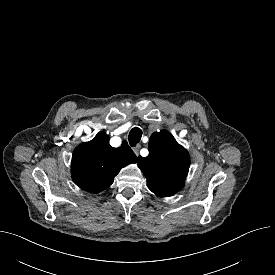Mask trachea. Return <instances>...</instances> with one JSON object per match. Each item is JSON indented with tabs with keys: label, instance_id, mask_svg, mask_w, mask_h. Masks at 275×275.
Here are the masks:
<instances>
[{
	"label": "trachea",
	"instance_id": "obj_1",
	"mask_svg": "<svg viewBox=\"0 0 275 275\" xmlns=\"http://www.w3.org/2000/svg\"><path fill=\"white\" fill-rule=\"evenodd\" d=\"M142 130L138 127H134L128 136L130 146L135 147L137 143L141 140Z\"/></svg>",
	"mask_w": 275,
	"mask_h": 275
}]
</instances>
